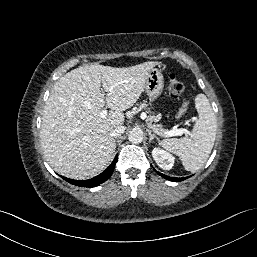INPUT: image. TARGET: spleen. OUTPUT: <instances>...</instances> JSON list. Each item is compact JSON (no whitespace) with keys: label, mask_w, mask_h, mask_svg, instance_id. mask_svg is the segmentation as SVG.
<instances>
[{"label":"spleen","mask_w":257,"mask_h":257,"mask_svg":"<svg viewBox=\"0 0 257 257\" xmlns=\"http://www.w3.org/2000/svg\"><path fill=\"white\" fill-rule=\"evenodd\" d=\"M198 120L194 124L192 135L183 138H171L161 141L160 145L167 151L180 157L187 171L196 172L203 167L213 148L217 119L204 94L195 98Z\"/></svg>","instance_id":"spleen-1"}]
</instances>
